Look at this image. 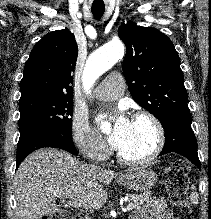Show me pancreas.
Wrapping results in <instances>:
<instances>
[{"instance_id": "pancreas-1", "label": "pancreas", "mask_w": 211, "mask_h": 219, "mask_svg": "<svg viewBox=\"0 0 211 219\" xmlns=\"http://www.w3.org/2000/svg\"><path fill=\"white\" fill-rule=\"evenodd\" d=\"M131 203L133 204L134 208L140 207L143 203H149L150 202V193L145 192L143 194H128L127 195Z\"/></svg>"}]
</instances>
